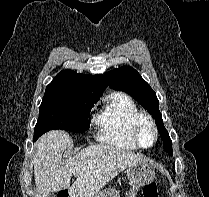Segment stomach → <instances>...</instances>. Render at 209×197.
I'll use <instances>...</instances> for the list:
<instances>
[{"instance_id":"1","label":"stomach","mask_w":209,"mask_h":197,"mask_svg":"<svg viewBox=\"0 0 209 197\" xmlns=\"http://www.w3.org/2000/svg\"><path fill=\"white\" fill-rule=\"evenodd\" d=\"M126 173L132 186L126 197H135L140 187L151 183L155 179V170L145 160L128 166ZM93 197H120V195L115 189L106 188Z\"/></svg>"}]
</instances>
